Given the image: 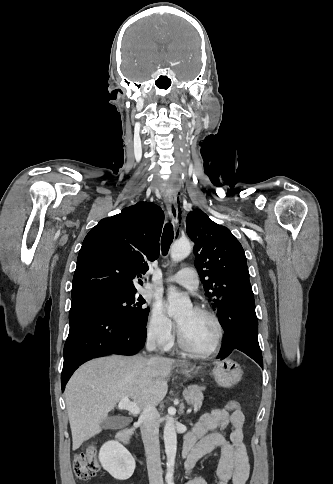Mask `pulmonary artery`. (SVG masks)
<instances>
[{
    "instance_id": "e3ab8cb5",
    "label": "pulmonary artery",
    "mask_w": 333,
    "mask_h": 484,
    "mask_svg": "<svg viewBox=\"0 0 333 484\" xmlns=\"http://www.w3.org/2000/svg\"><path fill=\"white\" fill-rule=\"evenodd\" d=\"M165 282L177 283L189 290H197L199 286V279L196 271L193 268H182L173 276H170L164 280ZM153 285L148 284L146 288H152Z\"/></svg>"
}]
</instances>
